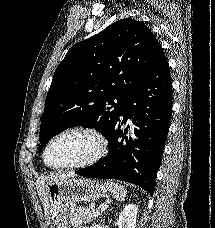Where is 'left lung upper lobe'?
Here are the masks:
<instances>
[{
    "label": "left lung upper lobe",
    "instance_id": "obj_1",
    "mask_svg": "<svg viewBox=\"0 0 215 228\" xmlns=\"http://www.w3.org/2000/svg\"><path fill=\"white\" fill-rule=\"evenodd\" d=\"M161 51L147 26L131 18L72 46L46 97L38 151L55 134L74 126L95 128L108 139L121 107Z\"/></svg>",
    "mask_w": 215,
    "mask_h": 228
}]
</instances>
